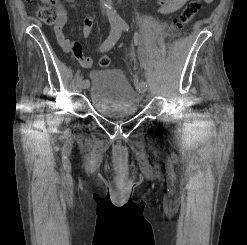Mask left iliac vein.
Wrapping results in <instances>:
<instances>
[{"mask_svg": "<svg viewBox=\"0 0 247 245\" xmlns=\"http://www.w3.org/2000/svg\"><path fill=\"white\" fill-rule=\"evenodd\" d=\"M137 88L142 94H144L147 90V86L141 84H137Z\"/></svg>", "mask_w": 247, "mask_h": 245, "instance_id": "4c4485c4", "label": "left iliac vein"}]
</instances>
